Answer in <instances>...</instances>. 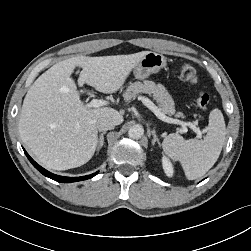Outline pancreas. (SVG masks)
Wrapping results in <instances>:
<instances>
[{
    "mask_svg": "<svg viewBox=\"0 0 251 251\" xmlns=\"http://www.w3.org/2000/svg\"><path fill=\"white\" fill-rule=\"evenodd\" d=\"M139 93L149 94L156 100L159 104V108L161 112L172 116L175 114L174 101L168 91L164 86L160 84H155L153 81H144V82H134L130 84L123 97L125 100L129 101L132 98H135ZM177 117H182V113H177Z\"/></svg>",
    "mask_w": 251,
    "mask_h": 251,
    "instance_id": "obj_1",
    "label": "pancreas"
}]
</instances>
